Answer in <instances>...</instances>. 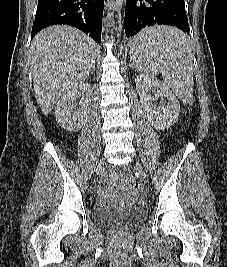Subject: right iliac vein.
Masks as SVG:
<instances>
[{
	"label": "right iliac vein",
	"instance_id": "1",
	"mask_svg": "<svg viewBox=\"0 0 227 267\" xmlns=\"http://www.w3.org/2000/svg\"><path fill=\"white\" fill-rule=\"evenodd\" d=\"M102 167H103V162L100 161V162L98 163V165H97L96 172H99V171L102 169Z\"/></svg>",
	"mask_w": 227,
	"mask_h": 267
}]
</instances>
